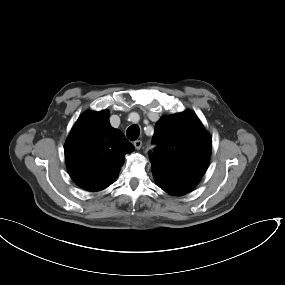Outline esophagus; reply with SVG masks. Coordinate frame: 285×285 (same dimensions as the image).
Wrapping results in <instances>:
<instances>
[{
    "mask_svg": "<svg viewBox=\"0 0 285 285\" xmlns=\"http://www.w3.org/2000/svg\"><path fill=\"white\" fill-rule=\"evenodd\" d=\"M133 145L137 150H140V148L142 147V141L136 140V141H134Z\"/></svg>",
    "mask_w": 285,
    "mask_h": 285,
    "instance_id": "34e87169",
    "label": "esophagus"
}]
</instances>
